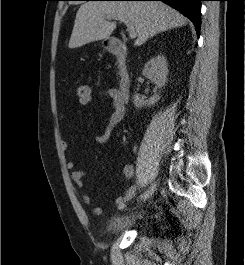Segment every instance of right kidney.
<instances>
[{"mask_svg":"<svg viewBox=\"0 0 245 265\" xmlns=\"http://www.w3.org/2000/svg\"><path fill=\"white\" fill-rule=\"evenodd\" d=\"M143 76L150 79L156 87L162 89L167 82L168 75V63L163 55H158L151 58L144 66L142 71ZM160 99V94H154L148 100L140 99L138 94L133 96V103L136 108H142L144 106H153Z\"/></svg>","mask_w":245,"mask_h":265,"instance_id":"right-kidney-1","label":"right kidney"}]
</instances>
